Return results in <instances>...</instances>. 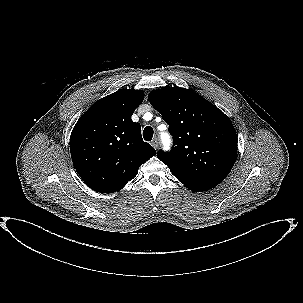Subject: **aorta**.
<instances>
[{
	"instance_id": "obj_1",
	"label": "aorta",
	"mask_w": 303,
	"mask_h": 303,
	"mask_svg": "<svg viewBox=\"0 0 303 303\" xmlns=\"http://www.w3.org/2000/svg\"><path fill=\"white\" fill-rule=\"evenodd\" d=\"M161 139H162V143L164 145V148L168 149L169 146H170V136L165 133V134H162Z\"/></svg>"
}]
</instances>
